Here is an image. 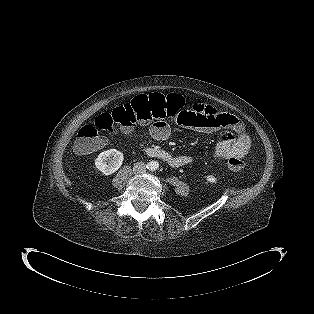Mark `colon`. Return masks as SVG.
<instances>
[{"label":"colon","mask_w":314,"mask_h":314,"mask_svg":"<svg viewBox=\"0 0 314 314\" xmlns=\"http://www.w3.org/2000/svg\"><path fill=\"white\" fill-rule=\"evenodd\" d=\"M181 108L185 109V101L178 94L139 95L112 112L100 114L93 124L81 127L73 149L79 155L92 153L104 146L102 132L112 133L117 128L129 130L137 124L145 125L160 119H171L173 112ZM228 166L232 170H240L244 163L239 158H231Z\"/></svg>","instance_id":"obj_1"}]
</instances>
